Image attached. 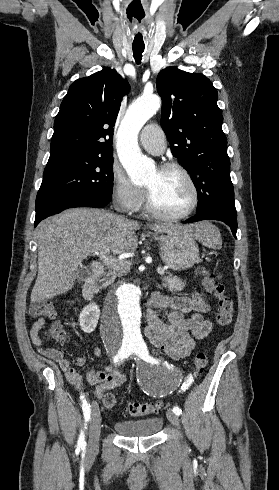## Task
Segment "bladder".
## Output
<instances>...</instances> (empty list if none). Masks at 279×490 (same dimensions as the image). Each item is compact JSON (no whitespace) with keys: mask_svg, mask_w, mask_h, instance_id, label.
Returning <instances> with one entry per match:
<instances>
[{"mask_svg":"<svg viewBox=\"0 0 279 490\" xmlns=\"http://www.w3.org/2000/svg\"><path fill=\"white\" fill-rule=\"evenodd\" d=\"M163 418L154 415L146 418L127 419L113 423V430L122 437H150L159 433Z\"/></svg>","mask_w":279,"mask_h":490,"instance_id":"bladder-1","label":"bladder"}]
</instances>
